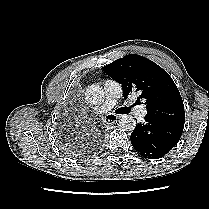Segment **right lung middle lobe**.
<instances>
[{
  "mask_svg": "<svg viewBox=\"0 0 209 209\" xmlns=\"http://www.w3.org/2000/svg\"><path fill=\"white\" fill-rule=\"evenodd\" d=\"M70 150V153L72 154V155H74V154H76L77 152H75V150H71V149H69Z\"/></svg>",
  "mask_w": 209,
  "mask_h": 209,
  "instance_id": "right-lung-middle-lobe-1",
  "label": "right lung middle lobe"
}]
</instances>
